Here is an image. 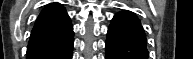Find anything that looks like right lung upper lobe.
<instances>
[{
    "instance_id": "obj_1",
    "label": "right lung upper lobe",
    "mask_w": 193,
    "mask_h": 59,
    "mask_svg": "<svg viewBox=\"0 0 193 59\" xmlns=\"http://www.w3.org/2000/svg\"><path fill=\"white\" fill-rule=\"evenodd\" d=\"M72 29L65 8L58 3L48 4L35 23L28 46L54 42L66 36Z\"/></svg>"
}]
</instances>
